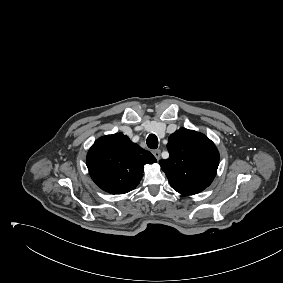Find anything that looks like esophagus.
Listing matches in <instances>:
<instances>
[{"instance_id":"1","label":"esophagus","mask_w":283,"mask_h":283,"mask_svg":"<svg viewBox=\"0 0 283 283\" xmlns=\"http://www.w3.org/2000/svg\"><path fill=\"white\" fill-rule=\"evenodd\" d=\"M153 155L155 156V158L157 160H159L160 159V155H161V151L160 150H154L153 151Z\"/></svg>"}]
</instances>
